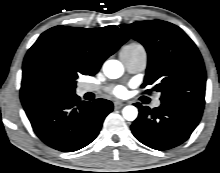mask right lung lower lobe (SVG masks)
Here are the masks:
<instances>
[{
    "instance_id": "1",
    "label": "right lung lower lobe",
    "mask_w": 220,
    "mask_h": 173,
    "mask_svg": "<svg viewBox=\"0 0 220 173\" xmlns=\"http://www.w3.org/2000/svg\"><path fill=\"white\" fill-rule=\"evenodd\" d=\"M23 107L36 135L62 152L77 151L91 143L113 110L108 100L80 102L75 93L43 96Z\"/></svg>"
}]
</instances>
